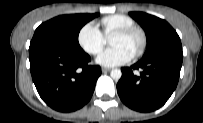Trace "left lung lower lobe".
I'll return each mask as SVG.
<instances>
[{
	"mask_svg": "<svg viewBox=\"0 0 203 123\" xmlns=\"http://www.w3.org/2000/svg\"><path fill=\"white\" fill-rule=\"evenodd\" d=\"M182 61V48L176 47L143 57L131 67L121 68L122 77L117 84L121 101L140 112L160 108L178 84Z\"/></svg>",
	"mask_w": 203,
	"mask_h": 123,
	"instance_id": "1",
	"label": "left lung lower lobe"
}]
</instances>
